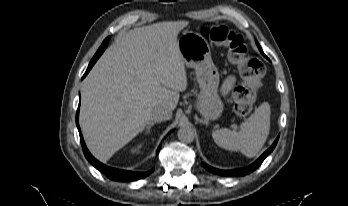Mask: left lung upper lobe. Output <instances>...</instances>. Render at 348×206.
<instances>
[{
  "mask_svg": "<svg viewBox=\"0 0 348 206\" xmlns=\"http://www.w3.org/2000/svg\"><path fill=\"white\" fill-rule=\"evenodd\" d=\"M258 45H259V44H258ZM259 47H260V45H259ZM259 47H258V48H259ZM259 50H260V52L265 56V54L263 53L261 47L259 48Z\"/></svg>",
  "mask_w": 348,
  "mask_h": 206,
  "instance_id": "left-lung-upper-lobe-1",
  "label": "left lung upper lobe"
}]
</instances>
